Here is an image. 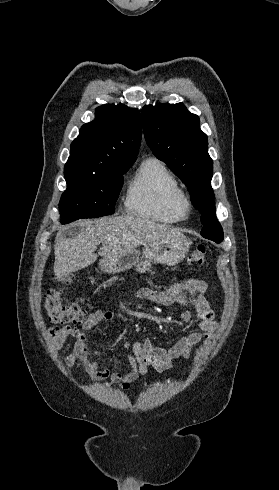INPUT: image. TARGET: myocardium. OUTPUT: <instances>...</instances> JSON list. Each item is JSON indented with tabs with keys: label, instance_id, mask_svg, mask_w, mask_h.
Segmentation results:
<instances>
[{
	"label": "myocardium",
	"instance_id": "myocardium-1",
	"mask_svg": "<svg viewBox=\"0 0 279 490\" xmlns=\"http://www.w3.org/2000/svg\"><path fill=\"white\" fill-rule=\"evenodd\" d=\"M176 208L182 217H186L189 215V213L192 209V204H191L189 196L185 192H182L179 195V197L176 201Z\"/></svg>",
	"mask_w": 279,
	"mask_h": 490
}]
</instances>
